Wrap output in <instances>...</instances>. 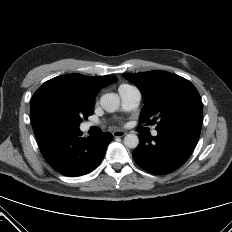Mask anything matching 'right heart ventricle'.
<instances>
[{
	"label": "right heart ventricle",
	"mask_w": 232,
	"mask_h": 232,
	"mask_svg": "<svg viewBox=\"0 0 232 232\" xmlns=\"http://www.w3.org/2000/svg\"><path fill=\"white\" fill-rule=\"evenodd\" d=\"M130 87H133V86L128 85V84H122V85L119 87V89H120V88H130Z\"/></svg>",
	"instance_id": "obj_1"
}]
</instances>
